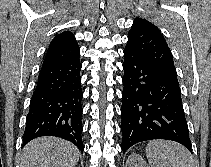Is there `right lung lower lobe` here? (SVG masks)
<instances>
[{
    "label": "right lung lower lobe",
    "mask_w": 211,
    "mask_h": 167,
    "mask_svg": "<svg viewBox=\"0 0 211 167\" xmlns=\"http://www.w3.org/2000/svg\"><path fill=\"white\" fill-rule=\"evenodd\" d=\"M81 67L77 56L41 68L26 117L22 147L37 137L56 136L83 152Z\"/></svg>",
    "instance_id": "right-lung-lower-lobe-1"
}]
</instances>
